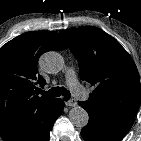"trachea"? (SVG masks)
<instances>
[{
    "label": "trachea",
    "mask_w": 141,
    "mask_h": 141,
    "mask_svg": "<svg viewBox=\"0 0 141 141\" xmlns=\"http://www.w3.org/2000/svg\"><path fill=\"white\" fill-rule=\"evenodd\" d=\"M40 93L47 97H58L62 95L65 101H68L71 97V93L64 87H53L49 91H41Z\"/></svg>",
    "instance_id": "3493384b"
}]
</instances>
